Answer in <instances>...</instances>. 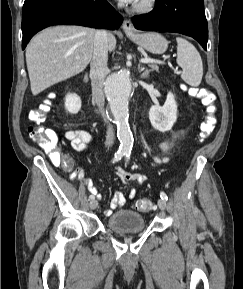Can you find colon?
Returning a JSON list of instances; mask_svg holds the SVG:
<instances>
[{
    "mask_svg": "<svg viewBox=\"0 0 243 289\" xmlns=\"http://www.w3.org/2000/svg\"><path fill=\"white\" fill-rule=\"evenodd\" d=\"M190 94L198 98L205 107V118L200 125V140H205L213 132L216 124V107L214 104V95L205 88H191ZM50 110V103L45 102L33 109L29 118L34 125L29 128L30 137L37 142L50 156L52 162L62 166L65 170L73 169L74 163L71 157L62 154L57 145L56 133L42 125ZM135 208L142 212H148L153 209V204L148 199H139L134 204Z\"/></svg>",
    "mask_w": 243,
    "mask_h": 289,
    "instance_id": "1",
    "label": "colon"
}]
</instances>
